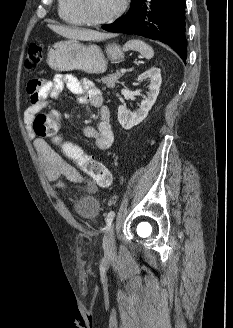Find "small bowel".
<instances>
[{"instance_id": "c3829d8e", "label": "small bowel", "mask_w": 233, "mask_h": 328, "mask_svg": "<svg viewBox=\"0 0 233 328\" xmlns=\"http://www.w3.org/2000/svg\"><path fill=\"white\" fill-rule=\"evenodd\" d=\"M65 87L76 97L79 104L88 103L98 109L99 123L97 127L85 126L83 133L87 138L94 141L98 149H109L114 141L111 113L109 108L104 104L101 90L87 79L79 80L72 75L57 74L53 79H33L29 81L27 86L29 106L24 113L25 124H31L34 116L49 107L57 94ZM33 144L45 175L53 187L64 190L67 187V180L74 183H85L89 192L96 191V184L93 181L83 178L44 139L37 138Z\"/></svg>"}]
</instances>
